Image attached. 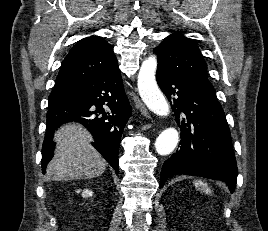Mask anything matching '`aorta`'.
Here are the masks:
<instances>
[{"instance_id": "1", "label": "aorta", "mask_w": 268, "mask_h": 231, "mask_svg": "<svg viewBox=\"0 0 268 231\" xmlns=\"http://www.w3.org/2000/svg\"><path fill=\"white\" fill-rule=\"evenodd\" d=\"M156 69V57L150 56L143 61L138 73V90L140 97L150 111L158 116L166 117L169 115V105L156 83ZM178 140V131L173 127L166 128L156 139L157 153L159 155L170 154L176 148Z\"/></svg>"}]
</instances>
